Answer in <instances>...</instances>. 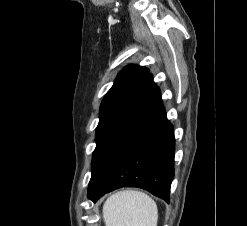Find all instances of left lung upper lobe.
<instances>
[{
	"label": "left lung upper lobe",
	"mask_w": 247,
	"mask_h": 226,
	"mask_svg": "<svg viewBox=\"0 0 247 226\" xmlns=\"http://www.w3.org/2000/svg\"><path fill=\"white\" fill-rule=\"evenodd\" d=\"M148 73V69L138 65L127 66L120 72L101 103L96 138Z\"/></svg>",
	"instance_id": "5c2ea615"
}]
</instances>
